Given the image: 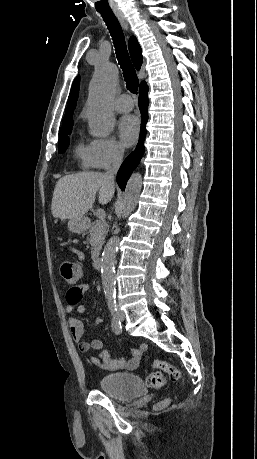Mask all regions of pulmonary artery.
I'll return each instance as SVG.
<instances>
[{"mask_svg":"<svg viewBox=\"0 0 257 459\" xmlns=\"http://www.w3.org/2000/svg\"><path fill=\"white\" fill-rule=\"evenodd\" d=\"M113 106L118 112H127L133 108V101L129 95L122 94L114 100Z\"/></svg>","mask_w":257,"mask_h":459,"instance_id":"e3ab8cb5","label":"pulmonary artery"}]
</instances>
